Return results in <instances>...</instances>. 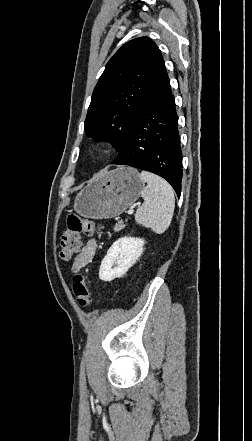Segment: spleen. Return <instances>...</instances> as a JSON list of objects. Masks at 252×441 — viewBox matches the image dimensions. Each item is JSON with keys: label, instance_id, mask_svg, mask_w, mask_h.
Here are the masks:
<instances>
[{"label": "spleen", "instance_id": "3e777b00", "mask_svg": "<svg viewBox=\"0 0 252 441\" xmlns=\"http://www.w3.org/2000/svg\"><path fill=\"white\" fill-rule=\"evenodd\" d=\"M140 176L147 186L141 192L144 203L136 211L135 221L162 234L168 229L174 213L173 189L167 181L148 171H142Z\"/></svg>", "mask_w": 252, "mask_h": 441}]
</instances>
